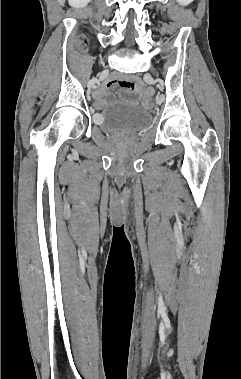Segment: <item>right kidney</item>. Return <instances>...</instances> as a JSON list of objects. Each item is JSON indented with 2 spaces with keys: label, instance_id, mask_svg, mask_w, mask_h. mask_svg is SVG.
<instances>
[{
  "label": "right kidney",
  "instance_id": "right-kidney-1",
  "mask_svg": "<svg viewBox=\"0 0 241 379\" xmlns=\"http://www.w3.org/2000/svg\"><path fill=\"white\" fill-rule=\"evenodd\" d=\"M91 0H68L69 5L74 8H83L85 7Z\"/></svg>",
  "mask_w": 241,
  "mask_h": 379
}]
</instances>
